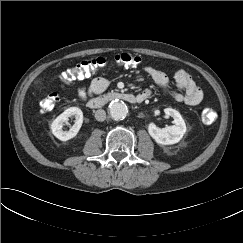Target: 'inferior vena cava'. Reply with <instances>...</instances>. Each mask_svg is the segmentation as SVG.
<instances>
[{
    "label": "inferior vena cava",
    "instance_id": "1",
    "mask_svg": "<svg viewBox=\"0 0 243 243\" xmlns=\"http://www.w3.org/2000/svg\"><path fill=\"white\" fill-rule=\"evenodd\" d=\"M95 118L98 121H104L106 119V112L103 109H99L95 112Z\"/></svg>",
    "mask_w": 243,
    "mask_h": 243
}]
</instances>
